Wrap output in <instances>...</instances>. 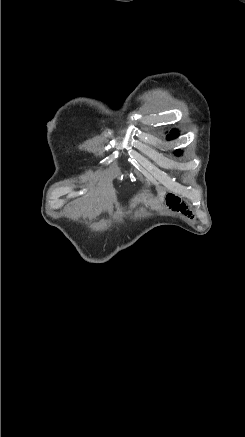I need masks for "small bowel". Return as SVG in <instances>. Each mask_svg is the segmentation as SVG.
Wrapping results in <instances>:
<instances>
[{
	"instance_id": "obj_1",
	"label": "small bowel",
	"mask_w": 245,
	"mask_h": 437,
	"mask_svg": "<svg viewBox=\"0 0 245 437\" xmlns=\"http://www.w3.org/2000/svg\"><path fill=\"white\" fill-rule=\"evenodd\" d=\"M167 202H168V206L173 211L180 212L188 216L191 215L188 206L184 202H182L179 198H177L175 195H169L167 198Z\"/></svg>"
}]
</instances>
